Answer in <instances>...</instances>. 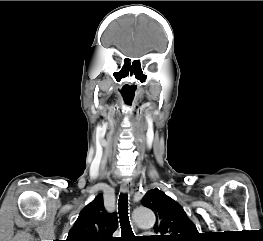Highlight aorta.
<instances>
[{
    "mask_svg": "<svg viewBox=\"0 0 263 241\" xmlns=\"http://www.w3.org/2000/svg\"><path fill=\"white\" fill-rule=\"evenodd\" d=\"M136 223L145 228H152L155 224V215L153 211L147 207H138L133 212Z\"/></svg>",
    "mask_w": 263,
    "mask_h": 241,
    "instance_id": "aorta-1",
    "label": "aorta"
}]
</instances>
